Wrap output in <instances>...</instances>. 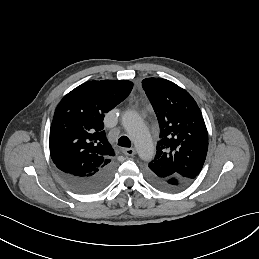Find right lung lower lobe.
Instances as JSON below:
<instances>
[{
	"label": "right lung lower lobe",
	"instance_id": "right-lung-lower-lobe-1",
	"mask_svg": "<svg viewBox=\"0 0 259 259\" xmlns=\"http://www.w3.org/2000/svg\"><path fill=\"white\" fill-rule=\"evenodd\" d=\"M114 171L115 162L111 160L98 171L85 176L74 175L60 169L58 173L64 182L76 192L90 194L97 193L107 187L112 180Z\"/></svg>",
	"mask_w": 259,
	"mask_h": 259
}]
</instances>
